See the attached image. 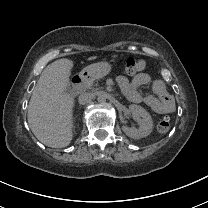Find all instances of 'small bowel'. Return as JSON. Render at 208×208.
Segmentation results:
<instances>
[{"label":"small bowel","instance_id":"c3829d8e","mask_svg":"<svg viewBox=\"0 0 208 208\" xmlns=\"http://www.w3.org/2000/svg\"><path fill=\"white\" fill-rule=\"evenodd\" d=\"M117 83L129 101L142 102L157 114H170L175 109L174 100L161 79H153L147 73H139L131 80L121 75L117 78ZM146 85H150L154 95L143 96L139 93L138 88Z\"/></svg>","mask_w":208,"mask_h":208}]
</instances>
